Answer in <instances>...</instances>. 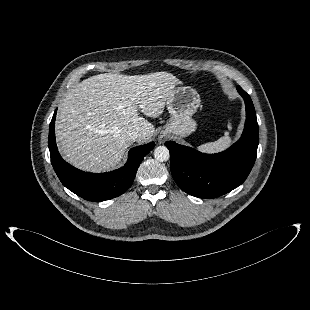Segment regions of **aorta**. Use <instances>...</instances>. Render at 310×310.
Masks as SVG:
<instances>
[{
  "label": "aorta",
  "instance_id": "762f6f07",
  "mask_svg": "<svg viewBox=\"0 0 310 310\" xmlns=\"http://www.w3.org/2000/svg\"><path fill=\"white\" fill-rule=\"evenodd\" d=\"M154 158L159 162H166L170 158V153L167 147L158 146L154 150Z\"/></svg>",
  "mask_w": 310,
  "mask_h": 310
}]
</instances>
